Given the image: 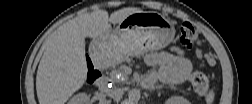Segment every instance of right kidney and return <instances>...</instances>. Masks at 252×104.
<instances>
[{
    "label": "right kidney",
    "mask_w": 252,
    "mask_h": 104,
    "mask_svg": "<svg viewBox=\"0 0 252 104\" xmlns=\"http://www.w3.org/2000/svg\"><path fill=\"white\" fill-rule=\"evenodd\" d=\"M88 100L89 96L86 93H79L69 100V104H85Z\"/></svg>",
    "instance_id": "right-kidney-1"
}]
</instances>
